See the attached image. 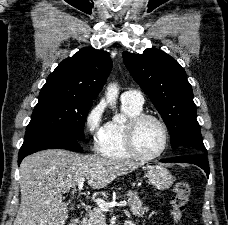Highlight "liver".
I'll use <instances>...</instances> for the list:
<instances>
[{"label":"liver","mask_w":228,"mask_h":225,"mask_svg":"<svg viewBox=\"0 0 228 225\" xmlns=\"http://www.w3.org/2000/svg\"><path fill=\"white\" fill-rule=\"evenodd\" d=\"M139 163L77 155L63 149H47L23 159L19 169L20 209L13 225H65L68 219L62 195L74 191L80 179L92 189L134 171Z\"/></svg>","instance_id":"6515ba94"}]
</instances>
